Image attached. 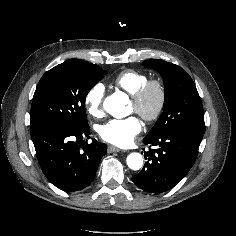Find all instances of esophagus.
<instances>
[{"instance_id": "1", "label": "esophagus", "mask_w": 236, "mask_h": 236, "mask_svg": "<svg viewBox=\"0 0 236 236\" xmlns=\"http://www.w3.org/2000/svg\"><path fill=\"white\" fill-rule=\"evenodd\" d=\"M107 151H108V153H113V152H120L123 150H121L118 147H115L113 145H109Z\"/></svg>"}]
</instances>
